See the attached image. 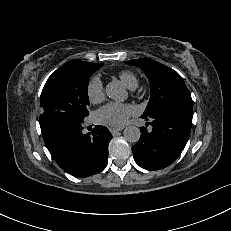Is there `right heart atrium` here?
<instances>
[{"label":"right heart atrium","instance_id":"1","mask_svg":"<svg viewBox=\"0 0 231 231\" xmlns=\"http://www.w3.org/2000/svg\"><path fill=\"white\" fill-rule=\"evenodd\" d=\"M87 96L92 103H99L103 100L104 88L99 77H94L89 81L87 85Z\"/></svg>","mask_w":231,"mask_h":231}]
</instances>
